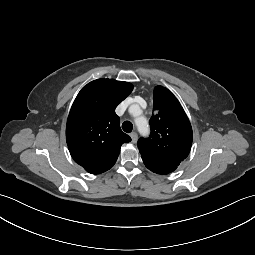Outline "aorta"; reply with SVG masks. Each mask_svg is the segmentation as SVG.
<instances>
[{
    "label": "aorta",
    "mask_w": 255,
    "mask_h": 255,
    "mask_svg": "<svg viewBox=\"0 0 255 255\" xmlns=\"http://www.w3.org/2000/svg\"><path fill=\"white\" fill-rule=\"evenodd\" d=\"M135 122H136V125H137L140 133H142V134L148 133L149 127H148V123H147L146 119L137 118L135 120Z\"/></svg>",
    "instance_id": "762f6f07"
}]
</instances>
